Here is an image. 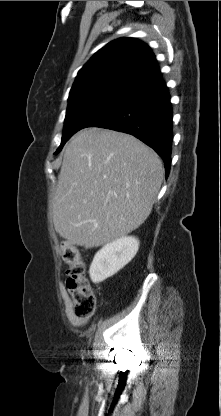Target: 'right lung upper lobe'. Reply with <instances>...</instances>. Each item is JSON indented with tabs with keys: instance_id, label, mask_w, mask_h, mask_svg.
Here are the masks:
<instances>
[{
	"instance_id": "obj_1",
	"label": "right lung upper lobe",
	"mask_w": 221,
	"mask_h": 416,
	"mask_svg": "<svg viewBox=\"0 0 221 416\" xmlns=\"http://www.w3.org/2000/svg\"><path fill=\"white\" fill-rule=\"evenodd\" d=\"M162 82L161 73L150 48L135 38L108 43L80 69L69 100L99 92L131 94Z\"/></svg>"
}]
</instances>
